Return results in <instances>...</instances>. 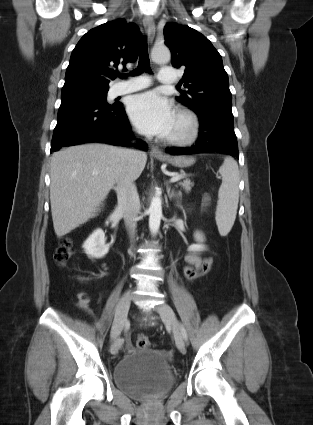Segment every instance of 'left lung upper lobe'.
<instances>
[{
    "label": "left lung upper lobe",
    "mask_w": 313,
    "mask_h": 425,
    "mask_svg": "<svg viewBox=\"0 0 313 425\" xmlns=\"http://www.w3.org/2000/svg\"><path fill=\"white\" fill-rule=\"evenodd\" d=\"M164 37L172 53V65L185 68L180 83L188 91L177 100L197 114L207 109L231 110L228 75L212 43L195 29L177 23L165 25Z\"/></svg>",
    "instance_id": "left-lung-upper-lobe-1"
}]
</instances>
